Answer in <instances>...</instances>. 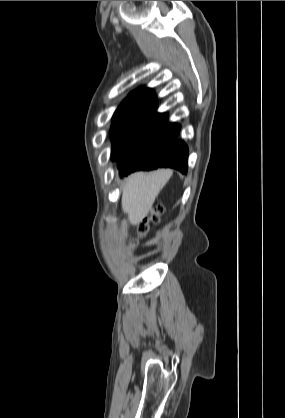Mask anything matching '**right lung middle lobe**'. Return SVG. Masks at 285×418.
Segmentation results:
<instances>
[{"label": "right lung middle lobe", "instance_id": "1", "mask_svg": "<svg viewBox=\"0 0 285 418\" xmlns=\"http://www.w3.org/2000/svg\"><path fill=\"white\" fill-rule=\"evenodd\" d=\"M156 109L141 104L118 107L111 127L113 158L129 152L166 122L167 114L157 113Z\"/></svg>", "mask_w": 285, "mask_h": 418}]
</instances>
